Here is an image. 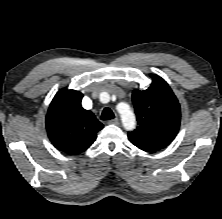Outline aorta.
I'll return each instance as SVG.
<instances>
[{"mask_svg":"<svg viewBox=\"0 0 222 219\" xmlns=\"http://www.w3.org/2000/svg\"><path fill=\"white\" fill-rule=\"evenodd\" d=\"M118 111L121 114V120L126 130H133L136 126V118L130 106L126 103H120Z\"/></svg>","mask_w":222,"mask_h":219,"instance_id":"aorta-1","label":"aorta"}]
</instances>
